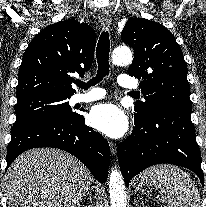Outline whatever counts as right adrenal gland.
<instances>
[{"label":"right adrenal gland","instance_id":"1","mask_svg":"<svg viewBox=\"0 0 206 207\" xmlns=\"http://www.w3.org/2000/svg\"><path fill=\"white\" fill-rule=\"evenodd\" d=\"M89 198L90 201L92 202V193H91V189L89 188L87 191V194L84 196L83 199Z\"/></svg>","mask_w":206,"mask_h":207}]
</instances>
